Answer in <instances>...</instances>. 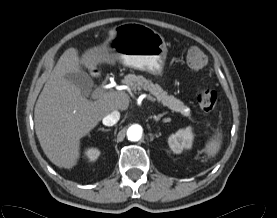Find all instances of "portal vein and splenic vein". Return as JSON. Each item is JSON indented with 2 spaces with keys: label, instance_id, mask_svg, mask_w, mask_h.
<instances>
[{
  "label": "portal vein and splenic vein",
  "instance_id": "1",
  "mask_svg": "<svg viewBox=\"0 0 277 218\" xmlns=\"http://www.w3.org/2000/svg\"><path fill=\"white\" fill-rule=\"evenodd\" d=\"M103 93H104V89H97V90H95V91L92 93L91 97H92V99H97V98H99ZM143 96H144L145 98H147L148 100L152 101V102H155V101H156L155 98H153V97L150 96L149 94L144 93Z\"/></svg>",
  "mask_w": 277,
  "mask_h": 218
}]
</instances>
